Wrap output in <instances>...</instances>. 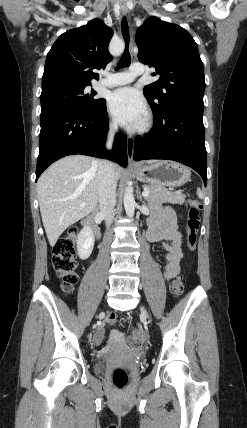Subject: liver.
<instances>
[{"label":"liver","mask_w":247,"mask_h":428,"mask_svg":"<svg viewBox=\"0 0 247 428\" xmlns=\"http://www.w3.org/2000/svg\"><path fill=\"white\" fill-rule=\"evenodd\" d=\"M98 170V160L73 155L55 162L40 176L37 182L40 213L52 247L69 226L96 209ZM114 172L118 180L122 169L117 164H114ZM81 203L86 205L81 207Z\"/></svg>","instance_id":"1"}]
</instances>
